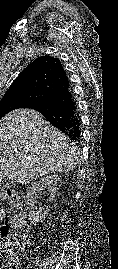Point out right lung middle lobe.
I'll return each mask as SVG.
<instances>
[{
    "label": "right lung middle lobe",
    "mask_w": 118,
    "mask_h": 269,
    "mask_svg": "<svg viewBox=\"0 0 118 269\" xmlns=\"http://www.w3.org/2000/svg\"><path fill=\"white\" fill-rule=\"evenodd\" d=\"M28 100L29 97L24 94L13 93L4 95L0 101V118L12 110L25 108Z\"/></svg>",
    "instance_id": "1"
}]
</instances>
